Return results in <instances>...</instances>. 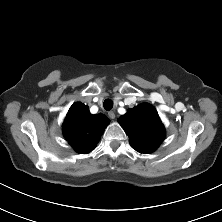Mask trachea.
<instances>
[{"label":"trachea","instance_id":"obj_1","mask_svg":"<svg viewBox=\"0 0 222 222\" xmlns=\"http://www.w3.org/2000/svg\"><path fill=\"white\" fill-rule=\"evenodd\" d=\"M103 106L105 110L110 111L113 108V101L111 99H106Z\"/></svg>","mask_w":222,"mask_h":222}]
</instances>
